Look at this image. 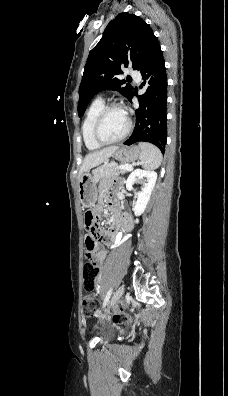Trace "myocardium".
Here are the masks:
<instances>
[{
  "label": "myocardium",
  "mask_w": 228,
  "mask_h": 396,
  "mask_svg": "<svg viewBox=\"0 0 228 396\" xmlns=\"http://www.w3.org/2000/svg\"><path fill=\"white\" fill-rule=\"evenodd\" d=\"M112 109H120L126 114L127 127L121 136H119L115 139H112V140H106L101 135V125H102L105 115ZM131 130H132V120H131L130 116L128 115V113L126 112L125 108L119 103H110V104L104 105V107L100 110V112L96 116L94 124H93L92 134H93L94 140L97 143H99L100 145H110V144H114V143L124 140L130 134Z\"/></svg>",
  "instance_id": "obj_1"
}]
</instances>
